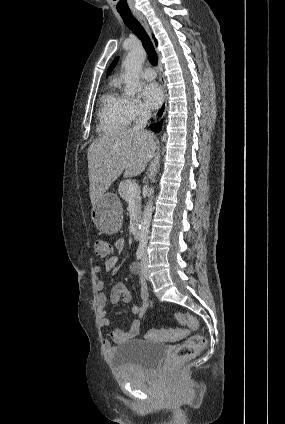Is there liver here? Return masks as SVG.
I'll list each match as a JSON object with an SVG mask.
<instances>
[{"instance_id":"1","label":"liver","mask_w":285,"mask_h":424,"mask_svg":"<svg viewBox=\"0 0 285 424\" xmlns=\"http://www.w3.org/2000/svg\"><path fill=\"white\" fill-rule=\"evenodd\" d=\"M156 145L153 134L133 129L113 131L94 141L87 151L92 205L122 173L124 177L142 173Z\"/></svg>"}]
</instances>
